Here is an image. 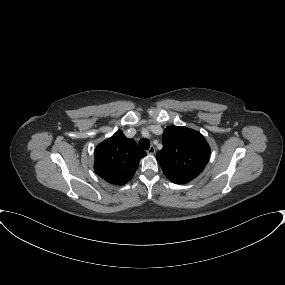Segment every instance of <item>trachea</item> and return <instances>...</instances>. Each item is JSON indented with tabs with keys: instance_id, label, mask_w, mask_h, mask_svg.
Returning a JSON list of instances; mask_svg holds the SVG:
<instances>
[{
	"instance_id": "trachea-1",
	"label": "trachea",
	"mask_w": 285,
	"mask_h": 285,
	"mask_svg": "<svg viewBox=\"0 0 285 285\" xmlns=\"http://www.w3.org/2000/svg\"><path fill=\"white\" fill-rule=\"evenodd\" d=\"M138 146L140 149L142 150H148L149 147H150V142L147 140V139H141L139 142H138Z\"/></svg>"
}]
</instances>
